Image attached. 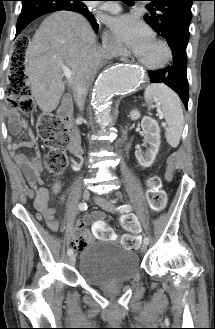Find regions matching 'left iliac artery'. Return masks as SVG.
Returning a JSON list of instances; mask_svg holds the SVG:
<instances>
[{
	"label": "left iliac artery",
	"instance_id": "44dca946",
	"mask_svg": "<svg viewBox=\"0 0 215 329\" xmlns=\"http://www.w3.org/2000/svg\"><path fill=\"white\" fill-rule=\"evenodd\" d=\"M118 210L121 212V213H127V212H130L131 211V205L129 204H124L122 206H120L118 208ZM144 243L145 244H148L149 243V238L148 237H145L144 238Z\"/></svg>",
	"mask_w": 215,
	"mask_h": 329
}]
</instances>
